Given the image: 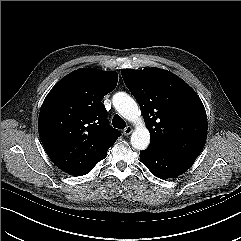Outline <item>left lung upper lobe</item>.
Here are the masks:
<instances>
[{
  "instance_id": "left-lung-upper-lobe-1",
  "label": "left lung upper lobe",
  "mask_w": 241,
  "mask_h": 241,
  "mask_svg": "<svg viewBox=\"0 0 241 241\" xmlns=\"http://www.w3.org/2000/svg\"><path fill=\"white\" fill-rule=\"evenodd\" d=\"M121 74L141 108L151 134L150 145L196 159L206 142L207 116L194 90L159 68L124 69Z\"/></svg>"
}]
</instances>
